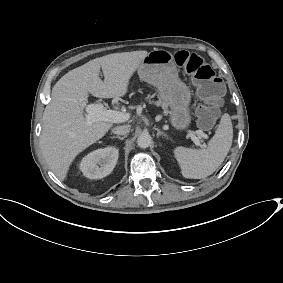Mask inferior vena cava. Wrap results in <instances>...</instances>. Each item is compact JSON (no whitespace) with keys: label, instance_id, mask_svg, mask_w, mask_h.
<instances>
[{"label":"inferior vena cava","instance_id":"602c4592","mask_svg":"<svg viewBox=\"0 0 283 283\" xmlns=\"http://www.w3.org/2000/svg\"><path fill=\"white\" fill-rule=\"evenodd\" d=\"M130 125L124 124L113 128V133L118 135H126L130 132Z\"/></svg>","mask_w":283,"mask_h":283}]
</instances>
